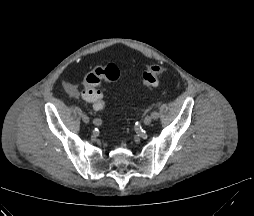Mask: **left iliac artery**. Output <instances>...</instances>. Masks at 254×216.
Segmentation results:
<instances>
[{"label": "left iliac artery", "instance_id": "44dca946", "mask_svg": "<svg viewBox=\"0 0 254 216\" xmlns=\"http://www.w3.org/2000/svg\"><path fill=\"white\" fill-rule=\"evenodd\" d=\"M152 119H158L159 118V112L157 110H154L151 112Z\"/></svg>", "mask_w": 254, "mask_h": 216}]
</instances>
